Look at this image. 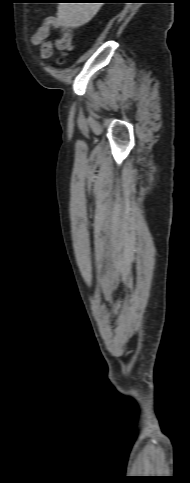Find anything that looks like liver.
<instances>
[{
	"instance_id": "1",
	"label": "liver",
	"mask_w": 190,
	"mask_h": 483,
	"mask_svg": "<svg viewBox=\"0 0 190 483\" xmlns=\"http://www.w3.org/2000/svg\"><path fill=\"white\" fill-rule=\"evenodd\" d=\"M101 5L102 3H59L57 20L65 27H80L96 15Z\"/></svg>"
}]
</instances>
